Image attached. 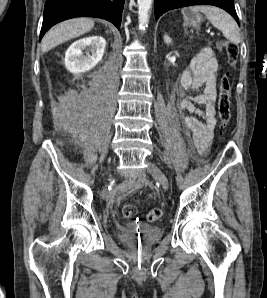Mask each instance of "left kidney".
Masks as SVG:
<instances>
[{"label": "left kidney", "mask_w": 267, "mask_h": 298, "mask_svg": "<svg viewBox=\"0 0 267 298\" xmlns=\"http://www.w3.org/2000/svg\"><path fill=\"white\" fill-rule=\"evenodd\" d=\"M164 41H165L166 44L171 43V39H170V37L167 36V35L164 36Z\"/></svg>", "instance_id": "1"}]
</instances>
